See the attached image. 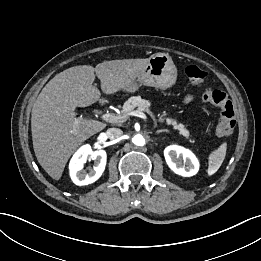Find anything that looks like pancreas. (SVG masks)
I'll return each mask as SVG.
<instances>
[{"instance_id":"cf45deb5","label":"pancreas","mask_w":261,"mask_h":261,"mask_svg":"<svg viewBox=\"0 0 261 261\" xmlns=\"http://www.w3.org/2000/svg\"><path fill=\"white\" fill-rule=\"evenodd\" d=\"M137 108L138 111H144L147 113H151V103L148 100L142 99L140 96L130 97L123 105V114L126 115ZM127 119V118H126ZM158 121L166 122L167 125H172L175 130L179 131V134L185 137L189 142H194L190 138L189 131L185 128V126L181 123H178L176 119L173 118H165L164 115L159 116Z\"/></svg>"}]
</instances>
